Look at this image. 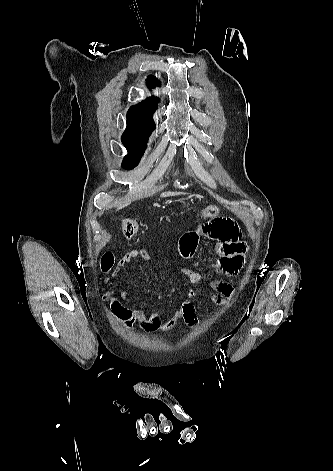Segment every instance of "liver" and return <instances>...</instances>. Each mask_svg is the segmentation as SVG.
Instances as JSON below:
<instances>
[{
    "instance_id": "6515ba94",
    "label": "liver",
    "mask_w": 333,
    "mask_h": 471,
    "mask_svg": "<svg viewBox=\"0 0 333 471\" xmlns=\"http://www.w3.org/2000/svg\"><path fill=\"white\" fill-rule=\"evenodd\" d=\"M179 193L177 192H164L162 193L160 196L161 197H169V196H175V195H178ZM130 202H127L125 204H121L118 209H121V208H124L125 206H127Z\"/></svg>"
}]
</instances>
